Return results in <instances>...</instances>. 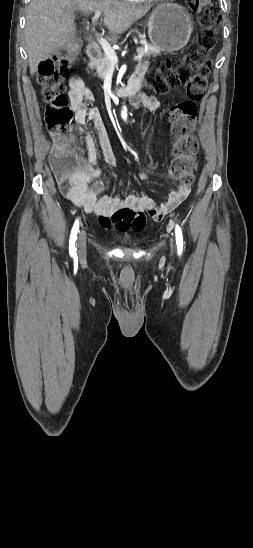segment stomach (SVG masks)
Wrapping results in <instances>:
<instances>
[{
	"instance_id": "stomach-1",
	"label": "stomach",
	"mask_w": 253,
	"mask_h": 548,
	"mask_svg": "<svg viewBox=\"0 0 253 548\" xmlns=\"http://www.w3.org/2000/svg\"><path fill=\"white\" fill-rule=\"evenodd\" d=\"M193 23L184 7L174 3L159 5L148 20V36L154 46L177 51L187 45Z\"/></svg>"
}]
</instances>
